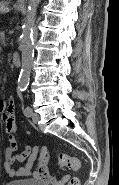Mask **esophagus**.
Returning <instances> with one entry per match:
<instances>
[{"label":"esophagus","mask_w":119,"mask_h":185,"mask_svg":"<svg viewBox=\"0 0 119 185\" xmlns=\"http://www.w3.org/2000/svg\"><path fill=\"white\" fill-rule=\"evenodd\" d=\"M26 0H17V4H23Z\"/></svg>","instance_id":"1"}]
</instances>
